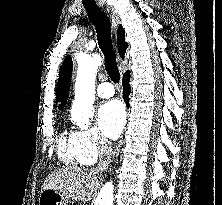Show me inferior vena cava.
Wrapping results in <instances>:
<instances>
[{
  "label": "inferior vena cava",
  "instance_id": "602c4592",
  "mask_svg": "<svg viewBox=\"0 0 222 205\" xmlns=\"http://www.w3.org/2000/svg\"><path fill=\"white\" fill-rule=\"evenodd\" d=\"M111 152H112V146L110 142H103L101 152H100V158L104 159L99 164L98 168H96V171H103L106 170L108 167V164L110 162L111 158Z\"/></svg>",
  "mask_w": 222,
  "mask_h": 205
}]
</instances>
